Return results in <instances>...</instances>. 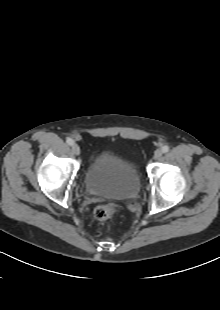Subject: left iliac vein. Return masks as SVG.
<instances>
[{"label": "left iliac vein", "instance_id": "1", "mask_svg": "<svg viewBox=\"0 0 220 310\" xmlns=\"http://www.w3.org/2000/svg\"><path fill=\"white\" fill-rule=\"evenodd\" d=\"M161 157H162V151L159 150V149L156 150V151L154 152V156H153L154 160H159Z\"/></svg>", "mask_w": 220, "mask_h": 310}]
</instances>
